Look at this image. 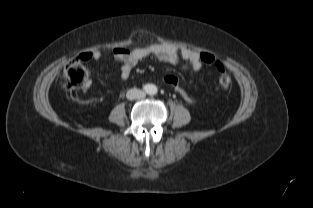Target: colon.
Listing matches in <instances>:
<instances>
[{
	"instance_id": "obj_1",
	"label": "colon",
	"mask_w": 313,
	"mask_h": 208,
	"mask_svg": "<svg viewBox=\"0 0 313 208\" xmlns=\"http://www.w3.org/2000/svg\"><path fill=\"white\" fill-rule=\"evenodd\" d=\"M200 59L205 64L215 66L219 74L218 83L222 88L226 89L230 87L231 77L226 72L224 66L216 61L213 54L209 52H202L200 53ZM164 80L167 84L173 87L178 99L189 105H193L195 103L194 99L184 88L177 76L166 75ZM61 81L62 85L67 89L84 88L89 83V72L80 59H75L68 63L65 67Z\"/></svg>"
}]
</instances>
